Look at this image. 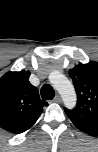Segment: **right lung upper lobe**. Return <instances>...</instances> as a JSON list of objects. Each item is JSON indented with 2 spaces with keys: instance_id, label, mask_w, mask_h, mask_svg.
<instances>
[{
  "instance_id": "right-lung-upper-lobe-1",
  "label": "right lung upper lobe",
  "mask_w": 98,
  "mask_h": 152,
  "mask_svg": "<svg viewBox=\"0 0 98 152\" xmlns=\"http://www.w3.org/2000/svg\"><path fill=\"white\" fill-rule=\"evenodd\" d=\"M29 71L7 72L0 78V127L19 134L34 125L47 106L29 82Z\"/></svg>"
}]
</instances>
